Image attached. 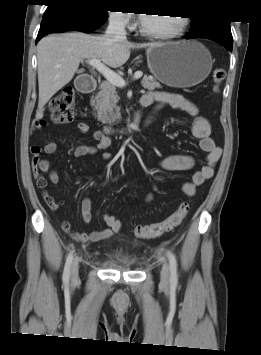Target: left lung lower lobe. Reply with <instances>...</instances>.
<instances>
[{"instance_id": "0a47b994", "label": "left lung lower lobe", "mask_w": 261, "mask_h": 355, "mask_svg": "<svg viewBox=\"0 0 261 355\" xmlns=\"http://www.w3.org/2000/svg\"><path fill=\"white\" fill-rule=\"evenodd\" d=\"M185 38H206L222 44L229 51H232L233 48V38L231 33L209 32L198 36H191L188 34Z\"/></svg>"}]
</instances>
